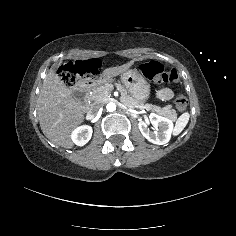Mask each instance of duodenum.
<instances>
[{
	"label": "duodenum",
	"mask_w": 236,
	"mask_h": 236,
	"mask_svg": "<svg viewBox=\"0 0 236 236\" xmlns=\"http://www.w3.org/2000/svg\"><path fill=\"white\" fill-rule=\"evenodd\" d=\"M97 82V78L94 75L84 76L73 88V95L78 101L82 111H87L88 103L86 95L88 90Z\"/></svg>",
	"instance_id": "obj_1"
}]
</instances>
